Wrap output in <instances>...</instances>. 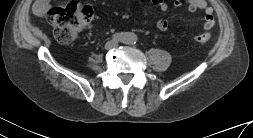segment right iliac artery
<instances>
[{
	"instance_id": "1",
	"label": "right iliac artery",
	"mask_w": 253,
	"mask_h": 138,
	"mask_svg": "<svg viewBox=\"0 0 253 138\" xmlns=\"http://www.w3.org/2000/svg\"><path fill=\"white\" fill-rule=\"evenodd\" d=\"M122 38H123V35L120 33H116L113 35V40H115V41H120V40H122Z\"/></svg>"
}]
</instances>
